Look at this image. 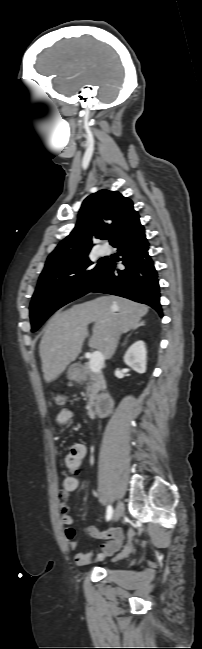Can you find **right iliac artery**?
<instances>
[{"instance_id": "obj_1", "label": "right iliac artery", "mask_w": 202, "mask_h": 649, "mask_svg": "<svg viewBox=\"0 0 202 649\" xmlns=\"http://www.w3.org/2000/svg\"><path fill=\"white\" fill-rule=\"evenodd\" d=\"M113 515V508L111 505L107 507V512H106V519L109 521L112 518Z\"/></svg>"}]
</instances>
